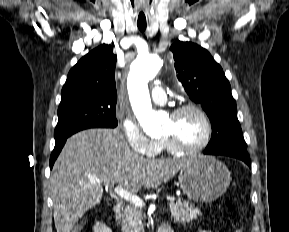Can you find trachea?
I'll use <instances>...</instances> for the list:
<instances>
[{
	"mask_svg": "<svg viewBox=\"0 0 289 232\" xmlns=\"http://www.w3.org/2000/svg\"><path fill=\"white\" fill-rule=\"evenodd\" d=\"M138 29L143 32L146 29V24H138Z\"/></svg>",
	"mask_w": 289,
	"mask_h": 232,
	"instance_id": "3493384b",
	"label": "trachea"
}]
</instances>
